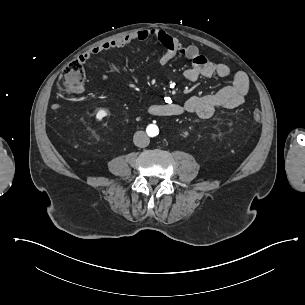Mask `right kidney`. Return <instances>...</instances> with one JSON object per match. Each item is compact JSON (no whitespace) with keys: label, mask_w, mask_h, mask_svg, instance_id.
I'll return each instance as SVG.
<instances>
[{"label":"right kidney","mask_w":305,"mask_h":305,"mask_svg":"<svg viewBox=\"0 0 305 305\" xmlns=\"http://www.w3.org/2000/svg\"><path fill=\"white\" fill-rule=\"evenodd\" d=\"M108 117V111L105 109H99L95 115L96 122H103V119Z\"/></svg>","instance_id":"right-kidney-1"}]
</instances>
